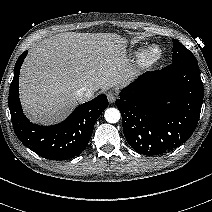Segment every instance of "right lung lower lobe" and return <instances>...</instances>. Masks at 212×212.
<instances>
[{
  "instance_id": "1",
  "label": "right lung lower lobe",
  "mask_w": 212,
  "mask_h": 212,
  "mask_svg": "<svg viewBox=\"0 0 212 212\" xmlns=\"http://www.w3.org/2000/svg\"><path fill=\"white\" fill-rule=\"evenodd\" d=\"M27 51L22 53L14 68V78L9 90V109L14 131L19 140L39 156L50 160H66L78 156L86 148L94 124L108 107L106 95L79 105L62 123L40 126L30 122L20 105L19 72Z\"/></svg>"
}]
</instances>
